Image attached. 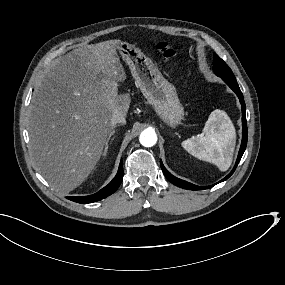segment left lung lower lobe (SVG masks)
Listing matches in <instances>:
<instances>
[{
	"label": "left lung lower lobe",
	"mask_w": 285,
	"mask_h": 285,
	"mask_svg": "<svg viewBox=\"0 0 285 285\" xmlns=\"http://www.w3.org/2000/svg\"><path fill=\"white\" fill-rule=\"evenodd\" d=\"M228 85L229 87L237 94L239 100H240V103H241V108H242V125H243V132H242V143H241V148L239 150V154H238V158H237V161H236V164L233 168V170L225 177L223 178L221 181H219L218 183L222 182V181H225L227 180L235 171L245 149H246V145H247V137H248V130H247V121H246V116H245V111H246V106H245V102H244V98H243V94L242 92L240 91V88L238 86V83L236 81V79H226L224 80ZM161 164V168H162V171L165 175V177L170 181L172 182L174 185L178 186V187H181V188H184V189H188V190H203V189H208V188H211L213 187L214 185L218 184H213V185H210V186H197V185H194L192 183H189V182H186L184 180H181L175 176H173L170 172L167 171V169L164 167L162 161L160 162Z\"/></svg>",
	"instance_id": "1"
}]
</instances>
